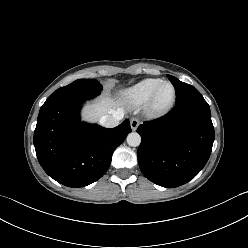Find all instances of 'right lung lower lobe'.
I'll list each match as a JSON object with an SVG mask.
<instances>
[{"instance_id": "1", "label": "right lung lower lobe", "mask_w": 248, "mask_h": 248, "mask_svg": "<svg viewBox=\"0 0 248 248\" xmlns=\"http://www.w3.org/2000/svg\"><path fill=\"white\" fill-rule=\"evenodd\" d=\"M99 93L65 90L51 94L42 105L34 146L44 171L68 187H84L107 171L114 150L131 132L129 120L107 129L80 120L84 101Z\"/></svg>"}]
</instances>
